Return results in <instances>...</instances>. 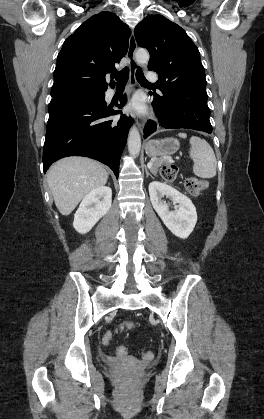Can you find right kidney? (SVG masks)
Segmentation results:
<instances>
[{
	"instance_id": "ca27d5eb",
	"label": "right kidney",
	"mask_w": 264,
	"mask_h": 419,
	"mask_svg": "<svg viewBox=\"0 0 264 419\" xmlns=\"http://www.w3.org/2000/svg\"><path fill=\"white\" fill-rule=\"evenodd\" d=\"M112 190L110 187L102 186L91 191L82 200L74 215L73 227L81 234L89 232L92 227L111 208Z\"/></svg>"
}]
</instances>
